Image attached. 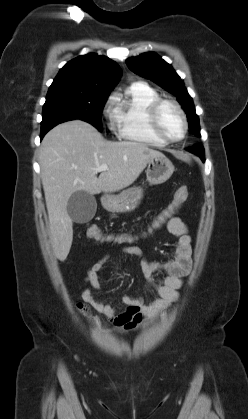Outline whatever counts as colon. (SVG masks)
Here are the masks:
<instances>
[{
	"mask_svg": "<svg viewBox=\"0 0 248 419\" xmlns=\"http://www.w3.org/2000/svg\"><path fill=\"white\" fill-rule=\"evenodd\" d=\"M189 191L185 186L179 187L175 192L174 198L170 205L164 209L153 221L152 226L157 229L163 224L168 218L172 217L178 209L188 200ZM88 233L91 235L93 240L105 241L107 238L102 234L101 230L94 226L88 229ZM79 309L84 316L90 317V309L86 304L80 303Z\"/></svg>",
	"mask_w": 248,
	"mask_h": 419,
	"instance_id": "5ec220e1",
	"label": "colon"
}]
</instances>
